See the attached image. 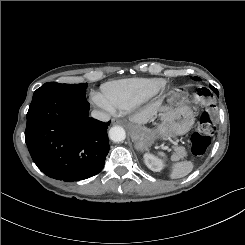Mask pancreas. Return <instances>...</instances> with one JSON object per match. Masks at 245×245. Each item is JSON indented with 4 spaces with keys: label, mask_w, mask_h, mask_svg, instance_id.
<instances>
[{
    "label": "pancreas",
    "mask_w": 245,
    "mask_h": 245,
    "mask_svg": "<svg viewBox=\"0 0 245 245\" xmlns=\"http://www.w3.org/2000/svg\"><path fill=\"white\" fill-rule=\"evenodd\" d=\"M174 154H173V157L174 159L178 160V159H181L183 158L185 155H186V151L183 147H174Z\"/></svg>",
    "instance_id": "1"
}]
</instances>
